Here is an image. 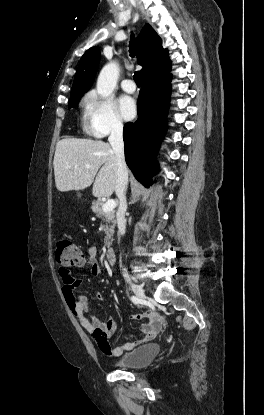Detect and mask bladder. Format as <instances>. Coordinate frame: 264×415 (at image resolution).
<instances>
[{"instance_id":"1","label":"bladder","mask_w":264,"mask_h":415,"mask_svg":"<svg viewBox=\"0 0 264 415\" xmlns=\"http://www.w3.org/2000/svg\"><path fill=\"white\" fill-rule=\"evenodd\" d=\"M160 352L158 344H148L129 352L114 362L115 366L139 369L151 364Z\"/></svg>"}]
</instances>
